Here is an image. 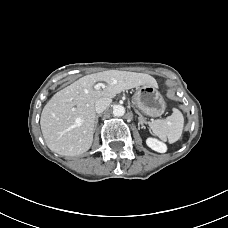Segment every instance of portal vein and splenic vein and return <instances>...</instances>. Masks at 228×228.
Listing matches in <instances>:
<instances>
[{
  "label": "portal vein and splenic vein",
  "mask_w": 228,
  "mask_h": 228,
  "mask_svg": "<svg viewBox=\"0 0 228 228\" xmlns=\"http://www.w3.org/2000/svg\"><path fill=\"white\" fill-rule=\"evenodd\" d=\"M101 87L104 88L105 85H104L103 83H98V84H96V85L94 86V88H95L96 90L100 89Z\"/></svg>",
  "instance_id": "18ae733b"
}]
</instances>
